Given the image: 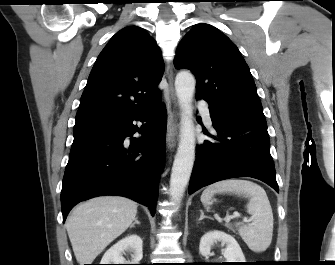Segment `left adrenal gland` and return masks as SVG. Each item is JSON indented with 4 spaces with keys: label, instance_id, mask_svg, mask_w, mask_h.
<instances>
[{
    "label": "left adrenal gland",
    "instance_id": "1",
    "mask_svg": "<svg viewBox=\"0 0 335 265\" xmlns=\"http://www.w3.org/2000/svg\"><path fill=\"white\" fill-rule=\"evenodd\" d=\"M200 213H201V215H200L199 221L202 220V219H204V218H208V216L204 215L203 210H200Z\"/></svg>",
    "mask_w": 335,
    "mask_h": 265
}]
</instances>
